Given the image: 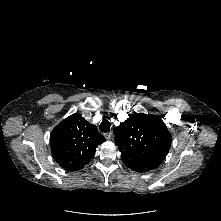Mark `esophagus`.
<instances>
[{
	"label": "esophagus",
	"mask_w": 221,
	"mask_h": 221,
	"mask_svg": "<svg viewBox=\"0 0 221 221\" xmlns=\"http://www.w3.org/2000/svg\"><path fill=\"white\" fill-rule=\"evenodd\" d=\"M105 138L108 139V140H111L114 136V133L112 131L108 132V133H105Z\"/></svg>",
	"instance_id": "1"
}]
</instances>
